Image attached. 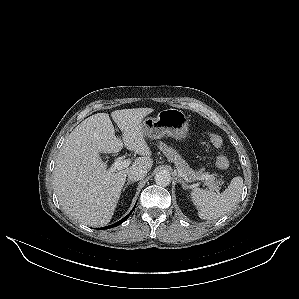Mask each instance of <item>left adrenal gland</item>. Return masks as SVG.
<instances>
[{"label": "left adrenal gland", "instance_id": "1", "mask_svg": "<svg viewBox=\"0 0 299 299\" xmlns=\"http://www.w3.org/2000/svg\"><path fill=\"white\" fill-rule=\"evenodd\" d=\"M178 182H180L181 184H182V188L183 189H187V184L184 182V180L182 179V178H180L179 176H178Z\"/></svg>", "mask_w": 299, "mask_h": 299}]
</instances>
